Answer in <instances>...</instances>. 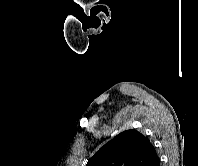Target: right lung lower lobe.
<instances>
[{"instance_id":"1","label":"right lung lower lobe","mask_w":198,"mask_h":166,"mask_svg":"<svg viewBox=\"0 0 198 166\" xmlns=\"http://www.w3.org/2000/svg\"><path fill=\"white\" fill-rule=\"evenodd\" d=\"M150 166H160V159L159 157L153 160V162L150 164Z\"/></svg>"}]
</instances>
